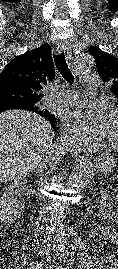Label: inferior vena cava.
<instances>
[{
    "instance_id": "602c4592",
    "label": "inferior vena cava",
    "mask_w": 118,
    "mask_h": 269,
    "mask_svg": "<svg viewBox=\"0 0 118 269\" xmlns=\"http://www.w3.org/2000/svg\"><path fill=\"white\" fill-rule=\"evenodd\" d=\"M49 160H51V162H56V161H57V158H55V157H50ZM49 160H46V161H44L41 165H39L40 167H42V172H43V168H45L46 163H47Z\"/></svg>"
}]
</instances>
